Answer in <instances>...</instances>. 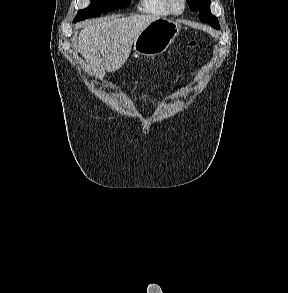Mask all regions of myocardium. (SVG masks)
<instances>
[{
	"mask_svg": "<svg viewBox=\"0 0 288 293\" xmlns=\"http://www.w3.org/2000/svg\"><path fill=\"white\" fill-rule=\"evenodd\" d=\"M166 6L170 10L171 13L173 14H181L186 8V0H177L180 3V8L177 9L174 5L175 0H164Z\"/></svg>",
	"mask_w": 288,
	"mask_h": 293,
	"instance_id": "f54148a6",
	"label": "myocardium"
}]
</instances>
